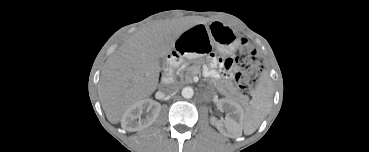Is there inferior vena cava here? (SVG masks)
Instances as JSON below:
<instances>
[{
	"label": "inferior vena cava",
	"instance_id": "602c4592",
	"mask_svg": "<svg viewBox=\"0 0 369 152\" xmlns=\"http://www.w3.org/2000/svg\"><path fill=\"white\" fill-rule=\"evenodd\" d=\"M178 89V85L175 82H165L161 88L160 91L163 92L164 94H171L176 92Z\"/></svg>",
	"mask_w": 369,
	"mask_h": 152
}]
</instances>
